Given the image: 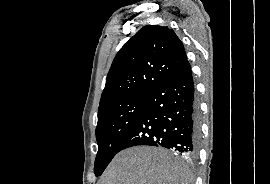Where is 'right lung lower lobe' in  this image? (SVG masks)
<instances>
[{
  "label": "right lung lower lobe",
  "instance_id": "98d812e1",
  "mask_svg": "<svg viewBox=\"0 0 270 184\" xmlns=\"http://www.w3.org/2000/svg\"><path fill=\"white\" fill-rule=\"evenodd\" d=\"M199 135V109L187 61L147 96L143 112L118 151L149 145L195 156Z\"/></svg>",
  "mask_w": 270,
  "mask_h": 184
}]
</instances>
